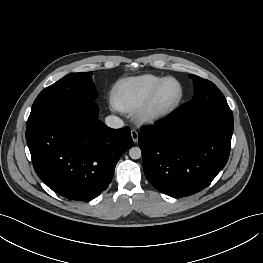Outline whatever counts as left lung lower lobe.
<instances>
[{
	"label": "left lung lower lobe",
	"mask_w": 263,
	"mask_h": 263,
	"mask_svg": "<svg viewBox=\"0 0 263 263\" xmlns=\"http://www.w3.org/2000/svg\"><path fill=\"white\" fill-rule=\"evenodd\" d=\"M233 127L231 111L186 116L179 108L142 128L139 146L146 178L172 197L201 191L227 163Z\"/></svg>",
	"instance_id": "obj_1"
}]
</instances>
